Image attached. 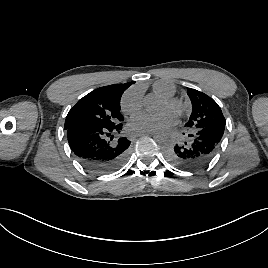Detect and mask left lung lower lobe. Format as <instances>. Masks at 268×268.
I'll list each match as a JSON object with an SVG mask.
<instances>
[{"label":"left lung lower lobe","instance_id":"1","mask_svg":"<svg viewBox=\"0 0 268 268\" xmlns=\"http://www.w3.org/2000/svg\"><path fill=\"white\" fill-rule=\"evenodd\" d=\"M225 126L206 127L189 134L190 139L176 144L169 159L178 167L191 170L200 168L211 161L218 151Z\"/></svg>","mask_w":268,"mask_h":268}]
</instances>
